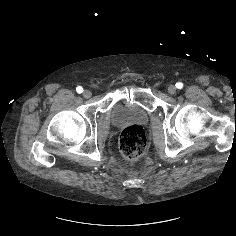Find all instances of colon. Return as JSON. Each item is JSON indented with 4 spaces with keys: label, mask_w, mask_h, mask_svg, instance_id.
<instances>
[{
    "label": "colon",
    "mask_w": 236,
    "mask_h": 236,
    "mask_svg": "<svg viewBox=\"0 0 236 236\" xmlns=\"http://www.w3.org/2000/svg\"><path fill=\"white\" fill-rule=\"evenodd\" d=\"M122 155L128 160H137L145 152L147 139L144 130L138 125L126 127L119 138Z\"/></svg>",
    "instance_id": "5ec220e1"
}]
</instances>
